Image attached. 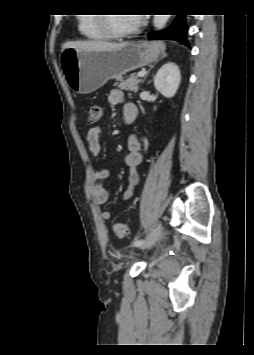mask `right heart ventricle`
I'll return each instance as SVG.
<instances>
[{
    "instance_id": "obj_1",
    "label": "right heart ventricle",
    "mask_w": 254,
    "mask_h": 355,
    "mask_svg": "<svg viewBox=\"0 0 254 355\" xmlns=\"http://www.w3.org/2000/svg\"><path fill=\"white\" fill-rule=\"evenodd\" d=\"M100 14L82 15L78 18L79 32L91 40H102L106 36L101 32L98 26V16Z\"/></svg>"
}]
</instances>
